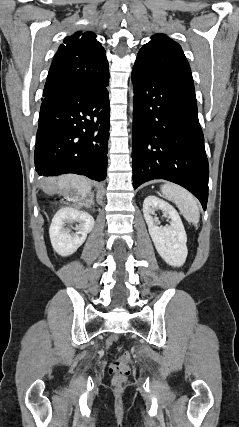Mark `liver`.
<instances>
[{"mask_svg":"<svg viewBox=\"0 0 239 427\" xmlns=\"http://www.w3.org/2000/svg\"><path fill=\"white\" fill-rule=\"evenodd\" d=\"M92 181L88 178L76 174H66L59 178L46 179V192L52 194L55 191L64 193L66 196L72 195V199L77 207L88 206L92 200L87 199L91 196Z\"/></svg>","mask_w":239,"mask_h":427,"instance_id":"6515ba94","label":"liver"}]
</instances>
